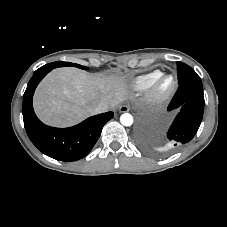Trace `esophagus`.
I'll return each instance as SVG.
<instances>
[{"label": "esophagus", "instance_id": "1", "mask_svg": "<svg viewBox=\"0 0 227 227\" xmlns=\"http://www.w3.org/2000/svg\"><path fill=\"white\" fill-rule=\"evenodd\" d=\"M129 110H130V107L128 105H122L119 108L120 113H125V112H128Z\"/></svg>", "mask_w": 227, "mask_h": 227}]
</instances>
